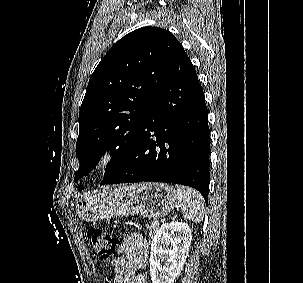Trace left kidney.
Listing matches in <instances>:
<instances>
[{
  "mask_svg": "<svg viewBox=\"0 0 303 283\" xmlns=\"http://www.w3.org/2000/svg\"><path fill=\"white\" fill-rule=\"evenodd\" d=\"M191 229L183 222L161 226L151 242L150 277L152 283H174L185 264Z\"/></svg>",
  "mask_w": 303,
  "mask_h": 283,
  "instance_id": "obj_1",
  "label": "left kidney"
}]
</instances>
